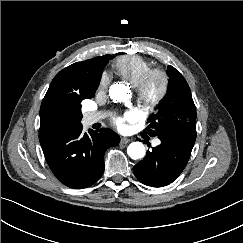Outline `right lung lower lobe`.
Returning <instances> with one entry per match:
<instances>
[{"label":"right lung lower lobe","instance_id":"1","mask_svg":"<svg viewBox=\"0 0 243 243\" xmlns=\"http://www.w3.org/2000/svg\"><path fill=\"white\" fill-rule=\"evenodd\" d=\"M46 161L64 185L82 189L97 182L104 172V152L119 144L112 130L82 132V125L39 134Z\"/></svg>","mask_w":243,"mask_h":243}]
</instances>
